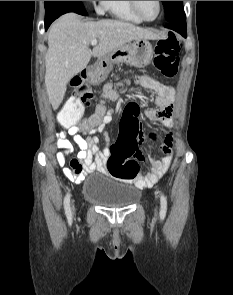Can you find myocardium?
<instances>
[{
  "instance_id": "f54148a6",
  "label": "myocardium",
  "mask_w": 233,
  "mask_h": 295,
  "mask_svg": "<svg viewBox=\"0 0 233 295\" xmlns=\"http://www.w3.org/2000/svg\"><path fill=\"white\" fill-rule=\"evenodd\" d=\"M130 2V5H131V8H132V10H133V12L142 20V21H145V22H152V21H155L158 17H159V15H160V13H161V9H162V3H161V1H157V5H158V10H157V14H156V16L154 17V18H152V19H147V18H145L142 14H141V12H140V10H139V8H138V2L137 1H129Z\"/></svg>"
}]
</instances>
